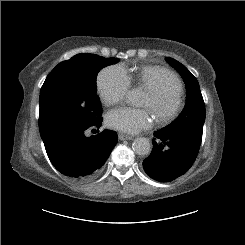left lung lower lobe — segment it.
Returning a JSON list of instances; mask_svg holds the SVG:
<instances>
[{
	"instance_id": "1",
	"label": "left lung lower lobe",
	"mask_w": 245,
	"mask_h": 245,
	"mask_svg": "<svg viewBox=\"0 0 245 245\" xmlns=\"http://www.w3.org/2000/svg\"><path fill=\"white\" fill-rule=\"evenodd\" d=\"M153 149L143 161L146 174L160 182H170L184 175L193 165L200 145L190 139L164 134H154Z\"/></svg>"
}]
</instances>
